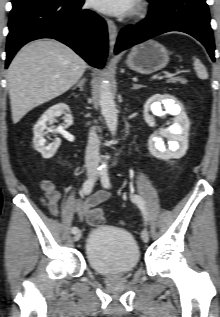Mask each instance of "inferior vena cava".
<instances>
[{
    "label": "inferior vena cava",
    "instance_id": "602c4592",
    "mask_svg": "<svg viewBox=\"0 0 220 317\" xmlns=\"http://www.w3.org/2000/svg\"><path fill=\"white\" fill-rule=\"evenodd\" d=\"M99 145V138L94 129H91V131L89 132L88 144L85 155V166L88 171L95 172L98 168L100 161Z\"/></svg>",
    "mask_w": 220,
    "mask_h": 317
}]
</instances>
